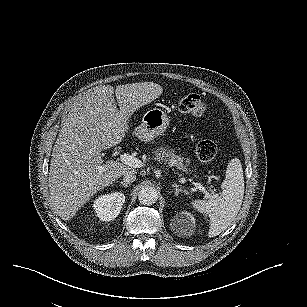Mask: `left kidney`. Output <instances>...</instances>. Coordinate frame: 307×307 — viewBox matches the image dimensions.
<instances>
[{
	"label": "left kidney",
	"mask_w": 307,
	"mask_h": 307,
	"mask_svg": "<svg viewBox=\"0 0 307 307\" xmlns=\"http://www.w3.org/2000/svg\"><path fill=\"white\" fill-rule=\"evenodd\" d=\"M173 231L178 236H191L195 232V218L189 212L182 211L174 216Z\"/></svg>",
	"instance_id": "5707ae66"
}]
</instances>
